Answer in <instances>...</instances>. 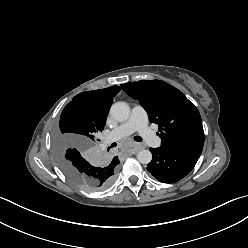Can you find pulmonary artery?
Here are the masks:
<instances>
[{"instance_id": "pulmonary-artery-1", "label": "pulmonary artery", "mask_w": 248, "mask_h": 248, "mask_svg": "<svg viewBox=\"0 0 248 248\" xmlns=\"http://www.w3.org/2000/svg\"><path fill=\"white\" fill-rule=\"evenodd\" d=\"M135 131L139 132L146 142L155 147L161 146V139L149 127L147 113L140 105L134 106L129 119L108 132L104 136V140L106 143L115 142L131 135Z\"/></svg>"}]
</instances>
